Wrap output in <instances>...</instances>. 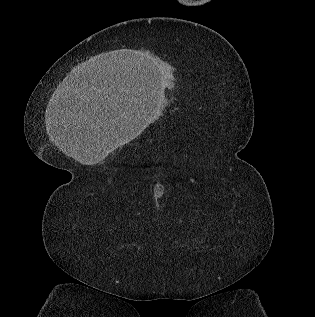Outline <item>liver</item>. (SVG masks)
Segmentation results:
<instances>
[{
	"label": "liver",
	"mask_w": 315,
	"mask_h": 317,
	"mask_svg": "<svg viewBox=\"0 0 315 317\" xmlns=\"http://www.w3.org/2000/svg\"><path fill=\"white\" fill-rule=\"evenodd\" d=\"M65 151V149H63ZM69 152H72L71 149H68Z\"/></svg>",
	"instance_id": "obj_1"
}]
</instances>
